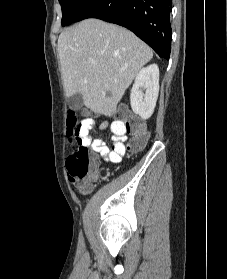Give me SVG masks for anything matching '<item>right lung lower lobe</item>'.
<instances>
[{
  "mask_svg": "<svg viewBox=\"0 0 227 279\" xmlns=\"http://www.w3.org/2000/svg\"><path fill=\"white\" fill-rule=\"evenodd\" d=\"M171 0H87L73 22L97 18L128 28L169 59L171 51Z\"/></svg>",
  "mask_w": 227,
  "mask_h": 279,
  "instance_id": "obj_1",
  "label": "right lung lower lobe"
}]
</instances>
